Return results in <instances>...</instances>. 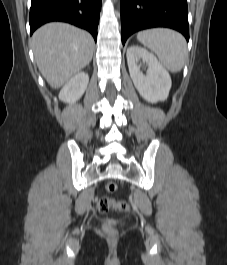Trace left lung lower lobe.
<instances>
[{
  "label": "left lung lower lobe",
  "mask_w": 227,
  "mask_h": 265,
  "mask_svg": "<svg viewBox=\"0 0 227 265\" xmlns=\"http://www.w3.org/2000/svg\"><path fill=\"white\" fill-rule=\"evenodd\" d=\"M122 43L142 29L168 27L189 40L186 0H121Z\"/></svg>",
  "instance_id": "left-lung-lower-lobe-1"
}]
</instances>
